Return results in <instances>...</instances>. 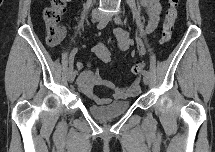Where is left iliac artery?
Here are the masks:
<instances>
[{
  "label": "left iliac artery",
  "instance_id": "left-iliac-artery-1",
  "mask_svg": "<svg viewBox=\"0 0 215 152\" xmlns=\"http://www.w3.org/2000/svg\"><path fill=\"white\" fill-rule=\"evenodd\" d=\"M115 23H116V24H121V23H122L120 16H116V17H115ZM136 41H137L138 43H141L140 38H137V37H136ZM142 52H143V51H142ZM139 73H140V76H145V75L147 74L143 69H140V70H139Z\"/></svg>",
  "mask_w": 215,
  "mask_h": 152
}]
</instances>
